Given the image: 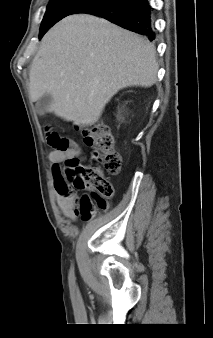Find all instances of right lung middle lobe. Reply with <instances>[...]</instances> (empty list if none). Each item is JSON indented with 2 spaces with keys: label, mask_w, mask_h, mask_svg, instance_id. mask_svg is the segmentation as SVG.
Segmentation results:
<instances>
[{
  "label": "right lung middle lobe",
  "mask_w": 213,
  "mask_h": 338,
  "mask_svg": "<svg viewBox=\"0 0 213 338\" xmlns=\"http://www.w3.org/2000/svg\"><path fill=\"white\" fill-rule=\"evenodd\" d=\"M90 1L92 0H50L40 27V38L55 23Z\"/></svg>",
  "instance_id": "obj_1"
}]
</instances>
